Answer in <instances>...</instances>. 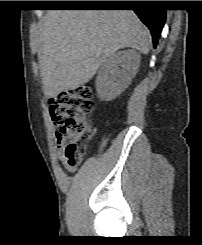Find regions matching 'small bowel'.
I'll use <instances>...</instances> for the list:
<instances>
[{"label": "small bowel", "instance_id": "small-bowel-1", "mask_svg": "<svg viewBox=\"0 0 202 245\" xmlns=\"http://www.w3.org/2000/svg\"><path fill=\"white\" fill-rule=\"evenodd\" d=\"M54 105H55L54 101H50V109L51 110L54 108ZM61 147H62V143L59 142V145H58L59 150L61 149ZM58 154H59L61 159H64V157H63V155H62V153L60 151H59ZM67 170L69 172H74L75 169L72 166H67Z\"/></svg>", "mask_w": 202, "mask_h": 245}]
</instances>
